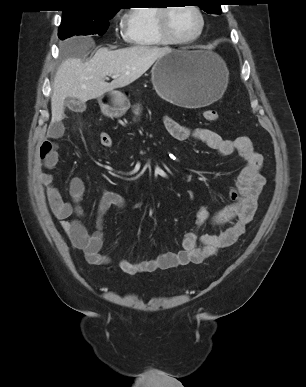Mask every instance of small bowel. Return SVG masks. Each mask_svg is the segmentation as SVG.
I'll use <instances>...</instances> for the list:
<instances>
[{
  "label": "small bowel",
  "mask_w": 306,
  "mask_h": 387,
  "mask_svg": "<svg viewBox=\"0 0 306 387\" xmlns=\"http://www.w3.org/2000/svg\"><path fill=\"white\" fill-rule=\"evenodd\" d=\"M164 124L169 134L176 140L181 142L196 140L224 157L237 153L245 165L237 177L235 188L229 192L231 204L214 215H211L206 207H201L197 213L196 229L185 234L180 251L161 253L140 262L121 259L118 267L129 275L201 264L215 255L219 249L234 244L252 221L257 209L258 197L265 184V178L261 174L263 157L255 150L250 138L241 136L234 140L223 139L209 128H190L168 116L164 118ZM63 131L61 122L51 124L48 137L39 148L38 180L46 188L50 209L60 221L61 228L73 246L83 251L90 264L107 265L110 263V258L101 252L104 218L113 207L124 209L126 200L115 191L104 193L99 203L97 230L94 233L87 231L80 220L83 215L80 202L85 193L84 181L80 177H73L69 182L70 200H65L58 188L53 186V176L48 172L54 169L58 162L55 140L63 134ZM207 223L226 226V228L217 234H199L198 230Z\"/></svg>",
  "instance_id": "1"
}]
</instances>
